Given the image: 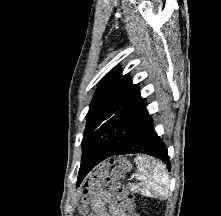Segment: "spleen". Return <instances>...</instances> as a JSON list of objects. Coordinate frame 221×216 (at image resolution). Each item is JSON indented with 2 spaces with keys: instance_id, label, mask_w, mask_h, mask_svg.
Returning a JSON list of instances; mask_svg holds the SVG:
<instances>
[{
  "instance_id": "spleen-1",
  "label": "spleen",
  "mask_w": 221,
  "mask_h": 216,
  "mask_svg": "<svg viewBox=\"0 0 221 216\" xmlns=\"http://www.w3.org/2000/svg\"><path fill=\"white\" fill-rule=\"evenodd\" d=\"M135 163L137 164L136 177L140 181L137 190L141 195L167 199L170 180L166 166L148 156H137Z\"/></svg>"
}]
</instances>
